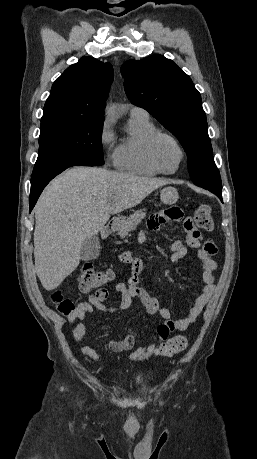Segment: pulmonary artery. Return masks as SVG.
Returning a JSON list of instances; mask_svg holds the SVG:
<instances>
[{"mask_svg": "<svg viewBox=\"0 0 257 459\" xmlns=\"http://www.w3.org/2000/svg\"><path fill=\"white\" fill-rule=\"evenodd\" d=\"M130 114H142V115H148L147 112L140 108V107H132Z\"/></svg>", "mask_w": 257, "mask_h": 459, "instance_id": "obj_1", "label": "pulmonary artery"}]
</instances>
